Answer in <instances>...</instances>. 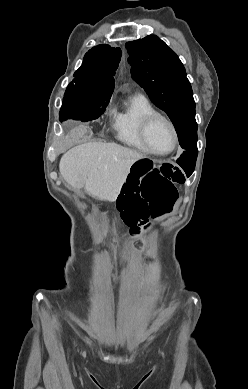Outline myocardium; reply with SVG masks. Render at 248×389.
I'll list each match as a JSON object with an SVG mask.
<instances>
[{
    "label": "myocardium",
    "mask_w": 248,
    "mask_h": 389,
    "mask_svg": "<svg viewBox=\"0 0 248 389\" xmlns=\"http://www.w3.org/2000/svg\"><path fill=\"white\" fill-rule=\"evenodd\" d=\"M158 119L164 121L169 126L170 131H171V135H172V147L168 151H165V152H158V151L153 150L150 147L149 142H148V130L151 127V125L153 124V122L158 120ZM140 138H141V141L144 144L147 152H149L152 155H156V156L169 155L170 153H172L175 150V148L178 144V136H177V131H176L174 123L168 117H166L165 115L158 113V112L151 113L143 119L141 126H140Z\"/></svg>",
    "instance_id": "f54148a6"
}]
</instances>
